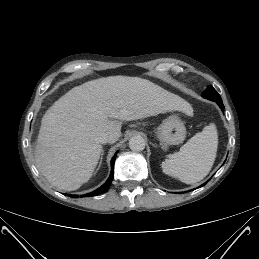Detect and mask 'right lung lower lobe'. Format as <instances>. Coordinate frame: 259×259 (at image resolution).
Returning a JSON list of instances; mask_svg holds the SVG:
<instances>
[{
  "label": "right lung lower lobe",
  "instance_id": "right-lung-lower-lobe-1",
  "mask_svg": "<svg viewBox=\"0 0 259 259\" xmlns=\"http://www.w3.org/2000/svg\"><path fill=\"white\" fill-rule=\"evenodd\" d=\"M117 154V153H116ZM116 154L113 156L112 160H111V174L109 176V178L107 179V181L100 187L98 188L97 190L91 192V193H88L84 196L86 197H89V196H96L98 194H101V193H105L108 191L109 189V186L112 182V179H113V175H114V162H115V159H116ZM72 197H77L76 195H71Z\"/></svg>",
  "mask_w": 259,
  "mask_h": 259
}]
</instances>
